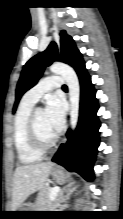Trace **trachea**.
I'll list each match as a JSON object with an SVG mask.
<instances>
[{
	"label": "trachea",
	"instance_id": "trachea-1",
	"mask_svg": "<svg viewBox=\"0 0 123 219\" xmlns=\"http://www.w3.org/2000/svg\"><path fill=\"white\" fill-rule=\"evenodd\" d=\"M63 89H67V86H66V85H63Z\"/></svg>",
	"mask_w": 123,
	"mask_h": 219
}]
</instances>
